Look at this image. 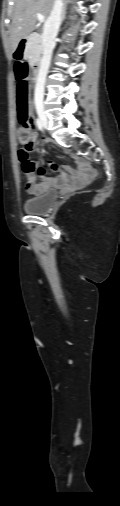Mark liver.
Returning <instances> with one entry per match:
<instances>
[{
    "instance_id": "6515ba94",
    "label": "liver",
    "mask_w": 120,
    "mask_h": 506,
    "mask_svg": "<svg viewBox=\"0 0 120 506\" xmlns=\"http://www.w3.org/2000/svg\"><path fill=\"white\" fill-rule=\"evenodd\" d=\"M64 2L68 0H63ZM54 0H15L10 28L11 50L14 52L21 39L27 37L35 28L37 13L48 17Z\"/></svg>"
}]
</instances>
